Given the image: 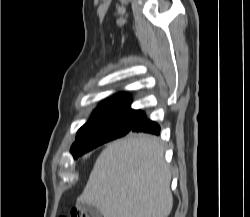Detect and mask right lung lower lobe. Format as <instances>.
Masks as SVG:
<instances>
[{
	"instance_id": "98d812e1",
	"label": "right lung lower lobe",
	"mask_w": 250,
	"mask_h": 217,
	"mask_svg": "<svg viewBox=\"0 0 250 217\" xmlns=\"http://www.w3.org/2000/svg\"><path fill=\"white\" fill-rule=\"evenodd\" d=\"M131 132H144L159 135L160 127L157 123L147 119L145 114L140 111V114L134 123Z\"/></svg>"
}]
</instances>
